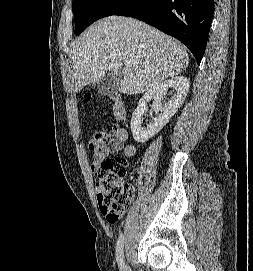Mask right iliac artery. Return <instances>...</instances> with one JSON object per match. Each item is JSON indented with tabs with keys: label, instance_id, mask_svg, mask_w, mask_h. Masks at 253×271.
Returning <instances> with one entry per match:
<instances>
[{
	"label": "right iliac artery",
	"instance_id": "82829eb1",
	"mask_svg": "<svg viewBox=\"0 0 253 271\" xmlns=\"http://www.w3.org/2000/svg\"><path fill=\"white\" fill-rule=\"evenodd\" d=\"M123 247H124V236L120 235L116 247V260L118 262L120 269H124Z\"/></svg>",
	"mask_w": 253,
	"mask_h": 271
}]
</instances>
